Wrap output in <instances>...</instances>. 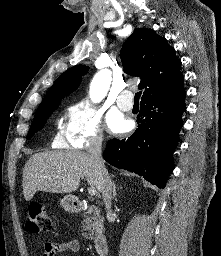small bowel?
<instances>
[{"instance_id": "c3829d8e", "label": "small bowel", "mask_w": 221, "mask_h": 256, "mask_svg": "<svg viewBox=\"0 0 221 256\" xmlns=\"http://www.w3.org/2000/svg\"><path fill=\"white\" fill-rule=\"evenodd\" d=\"M81 249V243L77 239H69L60 243L47 242L44 244L42 256H55L58 252L76 253Z\"/></svg>"}]
</instances>
